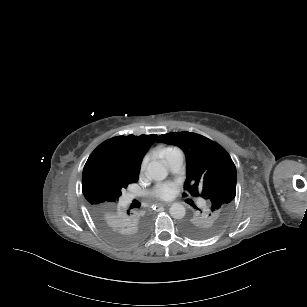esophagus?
<instances>
[{"label":"esophagus","instance_id":"1","mask_svg":"<svg viewBox=\"0 0 307 307\" xmlns=\"http://www.w3.org/2000/svg\"><path fill=\"white\" fill-rule=\"evenodd\" d=\"M154 207L159 208V207H164L165 205L162 203H155L153 204Z\"/></svg>","mask_w":307,"mask_h":307}]
</instances>
